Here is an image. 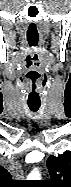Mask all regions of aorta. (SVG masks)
Returning <instances> with one entry per match:
<instances>
[{"label":"aorta","instance_id":"1","mask_svg":"<svg viewBox=\"0 0 71 187\" xmlns=\"http://www.w3.org/2000/svg\"><path fill=\"white\" fill-rule=\"evenodd\" d=\"M28 178L30 179H34V180H40L41 176L40 173L37 169L33 170L30 175L28 176Z\"/></svg>","mask_w":71,"mask_h":187}]
</instances>
